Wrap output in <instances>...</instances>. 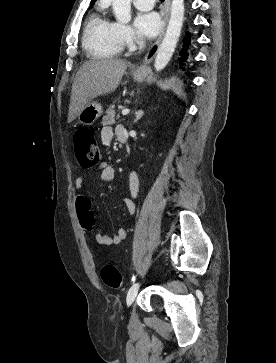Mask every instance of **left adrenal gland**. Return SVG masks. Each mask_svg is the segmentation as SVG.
<instances>
[{
	"label": "left adrenal gland",
	"instance_id": "left-adrenal-gland-1",
	"mask_svg": "<svg viewBox=\"0 0 276 363\" xmlns=\"http://www.w3.org/2000/svg\"><path fill=\"white\" fill-rule=\"evenodd\" d=\"M143 115H144V112L142 110L136 111L135 112V120H134V122H137L138 120H140Z\"/></svg>",
	"mask_w": 276,
	"mask_h": 363
}]
</instances>
